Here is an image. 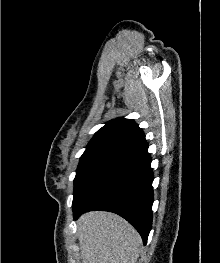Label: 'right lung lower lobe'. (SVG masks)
<instances>
[{"instance_id": "obj_1", "label": "right lung lower lobe", "mask_w": 220, "mask_h": 263, "mask_svg": "<svg viewBox=\"0 0 220 263\" xmlns=\"http://www.w3.org/2000/svg\"><path fill=\"white\" fill-rule=\"evenodd\" d=\"M148 143L117 153L72 204L74 218L91 210L114 212L140 233L146 244L152 226L153 172Z\"/></svg>"}]
</instances>
